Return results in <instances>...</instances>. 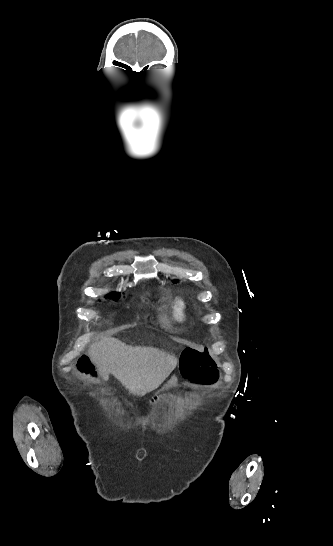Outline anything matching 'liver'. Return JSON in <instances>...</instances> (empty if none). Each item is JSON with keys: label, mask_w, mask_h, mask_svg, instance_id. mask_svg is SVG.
I'll return each mask as SVG.
<instances>
[{"label": "liver", "mask_w": 333, "mask_h": 546, "mask_svg": "<svg viewBox=\"0 0 333 546\" xmlns=\"http://www.w3.org/2000/svg\"><path fill=\"white\" fill-rule=\"evenodd\" d=\"M88 355L105 381L111 373L129 393L138 396L158 388L177 365L176 357L164 351L129 346L113 337L93 343Z\"/></svg>", "instance_id": "6515ba94"}]
</instances>
